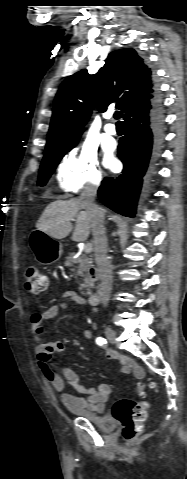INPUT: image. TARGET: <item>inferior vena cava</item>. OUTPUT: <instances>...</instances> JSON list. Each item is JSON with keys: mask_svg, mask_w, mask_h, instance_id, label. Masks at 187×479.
Listing matches in <instances>:
<instances>
[{"mask_svg": "<svg viewBox=\"0 0 187 479\" xmlns=\"http://www.w3.org/2000/svg\"><path fill=\"white\" fill-rule=\"evenodd\" d=\"M97 187L98 183L91 182L88 184L81 193L79 200L91 219L94 256L101 280L100 298L103 306L106 307L111 296L113 276L111 264L107 259L108 244L104 210L95 203Z\"/></svg>", "mask_w": 187, "mask_h": 479, "instance_id": "1", "label": "inferior vena cava"}]
</instances>
